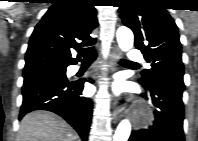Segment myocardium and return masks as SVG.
<instances>
[{
  "label": "myocardium",
  "instance_id": "myocardium-1",
  "mask_svg": "<svg viewBox=\"0 0 198 141\" xmlns=\"http://www.w3.org/2000/svg\"><path fill=\"white\" fill-rule=\"evenodd\" d=\"M151 119V114L147 108H144L138 115L137 121L139 123H148Z\"/></svg>",
  "mask_w": 198,
  "mask_h": 141
}]
</instances>
